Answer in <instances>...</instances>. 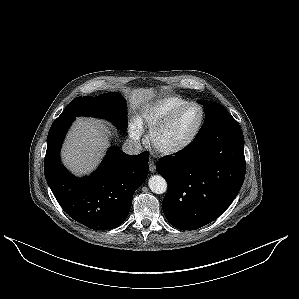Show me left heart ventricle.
Masks as SVG:
<instances>
[{"label": "left heart ventricle", "instance_id": "1", "mask_svg": "<svg viewBox=\"0 0 299 299\" xmlns=\"http://www.w3.org/2000/svg\"><path fill=\"white\" fill-rule=\"evenodd\" d=\"M201 110L197 106L186 108L167 128L156 136L160 148H173L185 142L195 131L200 120Z\"/></svg>", "mask_w": 299, "mask_h": 299}]
</instances>
